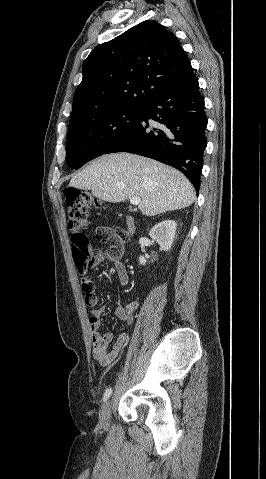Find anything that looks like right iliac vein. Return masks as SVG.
Returning a JSON list of instances; mask_svg holds the SVG:
<instances>
[{
  "label": "right iliac vein",
  "mask_w": 266,
  "mask_h": 479,
  "mask_svg": "<svg viewBox=\"0 0 266 479\" xmlns=\"http://www.w3.org/2000/svg\"><path fill=\"white\" fill-rule=\"evenodd\" d=\"M110 412H111V402L107 401L103 405L100 411L99 424H100V427L103 429H108L110 425Z\"/></svg>",
  "instance_id": "right-iliac-vein-1"
}]
</instances>
